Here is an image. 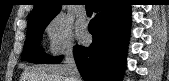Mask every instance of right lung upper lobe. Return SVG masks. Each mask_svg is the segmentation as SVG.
<instances>
[{"instance_id": "obj_1", "label": "right lung upper lobe", "mask_w": 169, "mask_h": 81, "mask_svg": "<svg viewBox=\"0 0 169 81\" xmlns=\"http://www.w3.org/2000/svg\"><path fill=\"white\" fill-rule=\"evenodd\" d=\"M34 8L29 17V24L34 22L53 19L60 11L64 0H34Z\"/></svg>"}]
</instances>
